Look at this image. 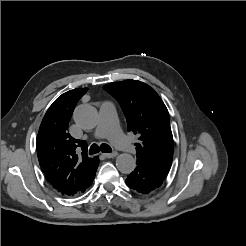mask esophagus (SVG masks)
<instances>
[{
    "label": "esophagus",
    "instance_id": "34e87169",
    "mask_svg": "<svg viewBox=\"0 0 246 246\" xmlns=\"http://www.w3.org/2000/svg\"><path fill=\"white\" fill-rule=\"evenodd\" d=\"M117 152H112V153H104L103 156L106 158H114L117 156Z\"/></svg>",
    "mask_w": 246,
    "mask_h": 246
}]
</instances>
